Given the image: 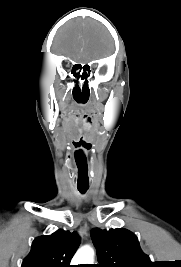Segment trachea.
I'll use <instances>...</instances> for the list:
<instances>
[{
	"mask_svg": "<svg viewBox=\"0 0 181 267\" xmlns=\"http://www.w3.org/2000/svg\"><path fill=\"white\" fill-rule=\"evenodd\" d=\"M88 186H78V190L81 192V193H85L87 190H88Z\"/></svg>",
	"mask_w": 181,
	"mask_h": 267,
	"instance_id": "3493384b",
	"label": "trachea"
}]
</instances>
